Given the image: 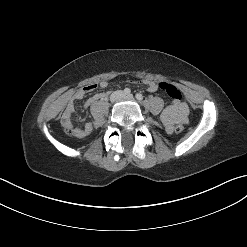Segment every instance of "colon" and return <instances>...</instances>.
<instances>
[{"mask_svg": "<svg viewBox=\"0 0 247 247\" xmlns=\"http://www.w3.org/2000/svg\"><path fill=\"white\" fill-rule=\"evenodd\" d=\"M158 87L160 90L164 91L171 99L174 101H181L182 99V94L180 90L175 87L174 85L168 84L166 82H161L158 84ZM184 127L181 124H177L174 127V131L176 133H181L183 131ZM75 128L73 125H69L68 127H65V131L69 134H73Z\"/></svg>", "mask_w": 247, "mask_h": 247, "instance_id": "5ec220e1", "label": "colon"}]
</instances>
